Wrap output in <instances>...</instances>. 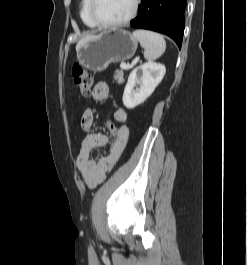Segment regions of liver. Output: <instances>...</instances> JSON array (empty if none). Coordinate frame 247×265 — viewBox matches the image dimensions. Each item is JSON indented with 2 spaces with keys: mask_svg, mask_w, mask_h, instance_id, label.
I'll return each mask as SVG.
<instances>
[{
  "mask_svg": "<svg viewBox=\"0 0 247 265\" xmlns=\"http://www.w3.org/2000/svg\"><path fill=\"white\" fill-rule=\"evenodd\" d=\"M91 37H93V35H88V36L84 37L82 40H80V41L78 42L77 46H78L80 43H82L83 41H85V40H87V39H89V38H91ZM77 46H76V48H77Z\"/></svg>",
  "mask_w": 247,
  "mask_h": 265,
  "instance_id": "6515ba94",
  "label": "liver"
}]
</instances>
